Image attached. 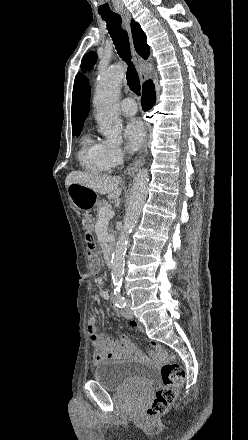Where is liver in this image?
<instances>
[{
  "instance_id": "6515ba94",
  "label": "liver",
  "mask_w": 248,
  "mask_h": 440,
  "mask_svg": "<svg viewBox=\"0 0 248 440\" xmlns=\"http://www.w3.org/2000/svg\"><path fill=\"white\" fill-rule=\"evenodd\" d=\"M71 184L83 185L96 193L107 195L108 199H117L122 192V189L118 188L120 184L119 177L88 172L73 171L69 173L65 180L66 188Z\"/></svg>"
}]
</instances>
